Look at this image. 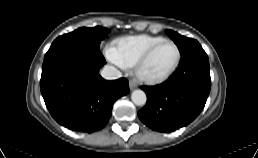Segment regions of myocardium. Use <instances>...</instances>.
I'll use <instances>...</instances> for the list:
<instances>
[{
  "mask_svg": "<svg viewBox=\"0 0 258 158\" xmlns=\"http://www.w3.org/2000/svg\"><path fill=\"white\" fill-rule=\"evenodd\" d=\"M164 43H171L174 45V47L176 49L177 56H176V60H175L174 64L166 72H164L161 75L153 76V75L146 73L144 70V67H145L147 61L149 60L151 55L155 52V50ZM180 62H181V52H180L178 45L171 39H162L161 41H159L158 43L153 45L151 48H149L146 51V53L140 58V60L136 64V73H137L138 77L141 80H143L144 82H147L149 84H158V83H162V82L166 81L167 79H169L172 76V74L179 67Z\"/></svg>",
  "mask_w": 258,
  "mask_h": 158,
  "instance_id": "1",
  "label": "myocardium"
}]
</instances>
